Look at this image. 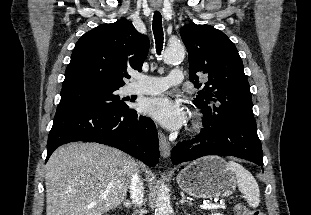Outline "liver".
Masks as SVG:
<instances>
[{
	"label": "liver",
	"instance_id": "liver-1",
	"mask_svg": "<svg viewBox=\"0 0 311 215\" xmlns=\"http://www.w3.org/2000/svg\"><path fill=\"white\" fill-rule=\"evenodd\" d=\"M137 168L133 158L102 144L58 148L46 166V215H102L116 208Z\"/></svg>",
	"mask_w": 311,
	"mask_h": 215
}]
</instances>
